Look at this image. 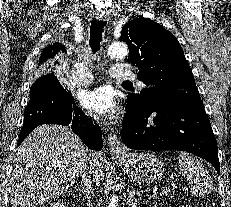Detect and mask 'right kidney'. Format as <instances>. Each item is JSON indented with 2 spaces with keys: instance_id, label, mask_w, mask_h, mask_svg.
Masks as SVG:
<instances>
[{
  "instance_id": "right-kidney-1",
  "label": "right kidney",
  "mask_w": 231,
  "mask_h": 207,
  "mask_svg": "<svg viewBox=\"0 0 231 207\" xmlns=\"http://www.w3.org/2000/svg\"><path fill=\"white\" fill-rule=\"evenodd\" d=\"M50 207H66L63 202H54L50 204Z\"/></svg>"
}]
</instances>
